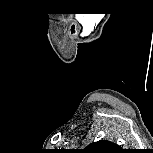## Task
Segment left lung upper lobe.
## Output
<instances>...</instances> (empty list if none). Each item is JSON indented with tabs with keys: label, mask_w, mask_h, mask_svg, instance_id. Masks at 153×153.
Listing matches in <instances>:
<instances>
[{
	"label": "left lung upper lobe",
	"mask_w": 153,
	"mask_h": 153,
	"mask_svg": "<svg viewBox=\"0 0 153 153\" xmlns=\"http://www.w3.org/2000/svg\"><path fill=\"white\" fill-rule=\"evenodd\" d=\"M86 149L93 153H104L111 150H117L118 146L108 141H98L92 143Z\"/></svg>",
	"instance_id": "left-lung-upper-lobe-1"
}]
</instances>
